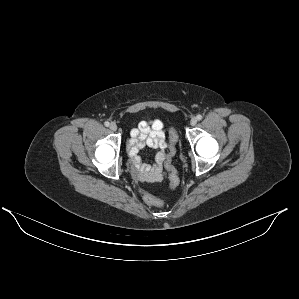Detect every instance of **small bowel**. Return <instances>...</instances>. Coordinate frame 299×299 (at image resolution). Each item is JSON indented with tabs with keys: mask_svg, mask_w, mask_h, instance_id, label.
I'll return each instance as SVG.
<instances>
[{
	"mask_svg": "<svg viewBox=\"0 0 299 299\" xmlns=\"http://www.w3.org/2000/svg\"><path fill=\"white\" fill-rule=\"evenodd\" d=\"M145 146L157 150L154 164L142 162L139 151ZM166 147L165 126L160 120H154L151 123L142 121L131 131L128 154L134 175L138 180L158 182L165 177Z\"/></svg>",
	"mask_w": 299,
	"mask_h": 299,
	"instance_id": "c3829d8e",
	"label": "small bowel"
}]
</instances>
